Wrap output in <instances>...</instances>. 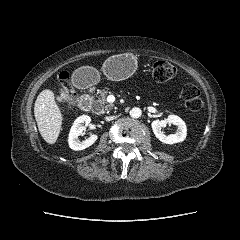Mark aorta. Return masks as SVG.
<instances>
[{"label":"aorta","instance_id":"obj_1","mask_svg":"<svg viewBox=\"0 0 240 240\" xmlns=\"http://www.w3.org/2000/svg\"><path fill=\"white\" fill-rule=\"evenodd\" d=\"M141 114H142V111L138 107H134L130 110V116L132 118H139L141 116Z\"/></svg>","mask_w":240,"mask_h":240}]
</instances>
